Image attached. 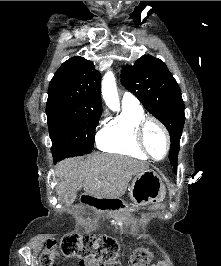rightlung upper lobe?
<instances>
[{
	"mask_svg": "<svg viewBox=\"0 0 221 266\" xmlns=\"http://www.w3.org/2000/svg\"><path fill=\"white\" fill-rule=\"evenodd\" d=\"M101 74L93 62L75 56L65 61L50 81L48 96L74 99L87 112H101Z\"/></svg>",
	"mask_w": 221,
	"mask_h": 266,
	"instance_id": "1",
	"label": "right lung upper lobe"
}]
</instances>
